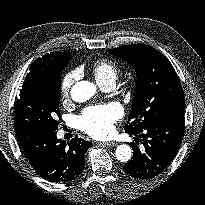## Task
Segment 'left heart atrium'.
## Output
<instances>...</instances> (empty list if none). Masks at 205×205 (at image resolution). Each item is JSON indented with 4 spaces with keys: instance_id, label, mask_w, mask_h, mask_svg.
Returning <instances> with one entry per match:
<instances>
[{
    "instance_id": "1",
    "label": "left heart atrium",
    "mask_w": 205,
    "mask_h": 205,
    "mask_svg": "<svg viewBox=\"0 0 205 205\" xmlns=\"http://www.w3.org/2000/svg\"><path fill=\"white\" fill-rule=\"evenodd\" d=\"M122 114V108L115 103L92 106L86 108L78 117V124L91 136L102 138L113 132L114 124Z\"/></svg>"
}]
</instances>
